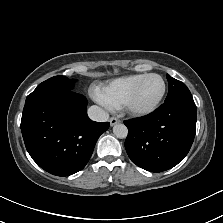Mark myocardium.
Wrapping results in <instances>:
<instances>
[{"label": "myocardium", "instance_id": "1", "mask_svg": "<svg viewBox=\"0 0 223 223\" xmlns=\"http://www.w3.org/2000/svg\"><path fill=\"white\" fill-rule=\"evenodd\" d=\"M150 76H157L160 78L161 82H162V90L161 93L159 94L158 98L156 99V101L148 108H144V109H138L132 106V102L133 99L135 98L137 91L141 85V83L144 81V79H146L147 77ZM166 92V84L165 81L163 79V77L157 73H149V74H145L138 82L137 84L134 86V88L128 93V95L126 96V98L124 99L121 107L119 108V111L122 115H126V116H132V117H145L148 115H151L152 113H154L157 108L159 107L164 95Z\"/></svg>", "mask_w": 223, "mask_h": 223}]
</instances>
